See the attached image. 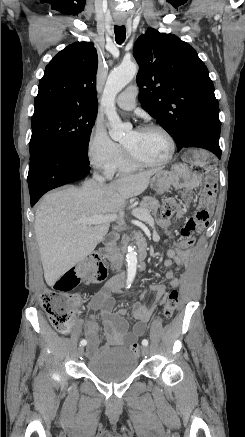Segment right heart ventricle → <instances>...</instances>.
<instances>
[{
	"label": "right heart ventricle",
	"mask_w": 245,
	"mask_h": 437,
	"mask_svg": "<svg viewBox=\"0 0 245 437\" xmlns=\"http://www.w3.org/2000/svg\"><path fill=\"white\" fill-rule=\"evenodd\" d=\"M138 168V166L132 164L127 160L125 155H123L122 159L117 164L114 173L117 174H127L135 171Z\"/></svg>",
	"instance_id": "obj_1"
}]
</instances>
